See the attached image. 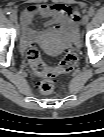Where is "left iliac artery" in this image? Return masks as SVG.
I'll return each instance as SVG.
<instances>
[{
	"label": "left iliac artery",
	"instance_id": "44dca946",
	"mask_svg": "<svg viewBox=\"0 0 104 137\" xmlns=\"http://www.w3.org/2000/svg\"><path fill=\"white\" fill-rule=\"evenodd\" d=\"M95 14V11L93 10V9H90L89 11H88V15L89 16H93Z\"/></svg>",
	"mask_w": 104,
	"mask_h": 137
}]
</instances>
